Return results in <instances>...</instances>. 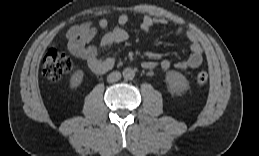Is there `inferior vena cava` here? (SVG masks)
Returning a JSON list of instances; mask_svg holds the SVG:
<instances>
[{
	"mask_svg": "<svg viewBox=\"0 0 259 156\" xmlns=\"http://www.w3.org/2000/svg\"><path fill=\"white\" fill-rule=\"evenodd\" d=\"M120 78H121V73L118 72V71H114V72H111V73L107 76V81H108L109 83H113V82L118 81Z\"/></svg>",
	"mask_w": 259,
	"mask_h": 156,
	"instance_id": "obj_1",
	"label": "inferior vena cava"
}]
</instances>
